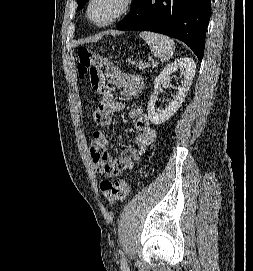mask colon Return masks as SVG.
<instances>
[{"instance_id": "colon-1", "label": "colon", "mask_w": 253, "mask_h": 271, "mask_svg": "<svg viewBox=\"0 0 253 271\" xmlns=\"http://www.w3.org/2000/svg\"><path fill=\"white\" fill-rule=\"evenodd\" d=\"M107 65V61L99 54L85 47L78 49L77 69L79 75L82 78L88 76L93 90L97 93L101 87L98 70ZM100 191L109 201H121L128 193V184L124 180L106 179L100 183Z\"/></svg>"}]
</instances>
